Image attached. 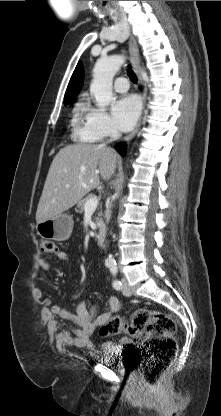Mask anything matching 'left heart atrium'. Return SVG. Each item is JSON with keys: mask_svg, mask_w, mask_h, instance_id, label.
Segmentation results:
<instances>
[{"mask_svg": "<svg viewBox=\"0 0 221 416\" xmlns=\"http://www.w3.org/2000/svg\"><path fill=\"white\" fill-rule=\"evenodd\" d=\"M141 104L135 95L127 94L118 98L112 107V113L118 128L131 130L139 117Z\"/></svg>", "mask_w": 221, "mask_h": 416, "instance_id": "left-heart-atrium-1", "label": "left heart atrium"}]
</instances>
